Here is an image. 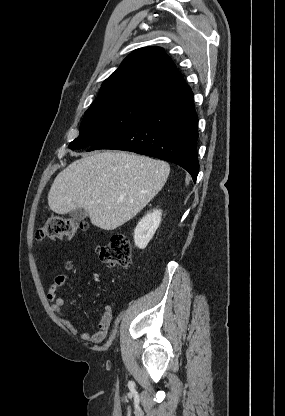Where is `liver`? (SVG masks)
Returning a JSON list of instances; mask_svg holds the SVG:
<instances>
[{"mask_svg":"<svg viewBox=\"0 0 285 416\" xmlns=\"http://www.w3.org/2000/svg\"><path fill=\"white\" fill-rule=\"evenodd\" d=\"M166 162L129 152H93L56 176L48 194L55 214L83 208L91 224L116 230L141 212L167 182Z\"/></svg>","mask_w":285,"mask_h":416,"instance_id":"obj_1","label":"liver"}]
</instances>
